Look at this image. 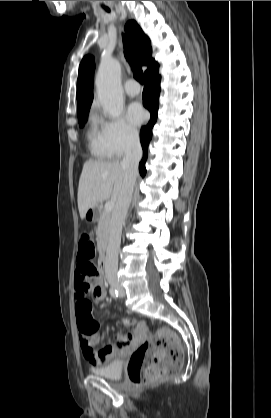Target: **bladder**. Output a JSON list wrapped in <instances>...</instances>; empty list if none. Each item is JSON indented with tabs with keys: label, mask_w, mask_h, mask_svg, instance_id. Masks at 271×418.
I'll use <instances>...</instances> for the list:
<instances>
[{
	"label": "bladder",
	"mask_w": 271,
	"mask_h": 418,
	"mask_svg": "<svg viewBox=\"0 0 271 418\" xmlns=\"http://www.w3.org/2000/svg\"><path fill=\"white\" fill-rule=\"evenodd\" d=\"M123 371V362L121 360H113L104 366L92 369V373L96 376L117 380L121 377Z\"/></svg>",
	"instance_id": "obj_1"
}]
</instances>
